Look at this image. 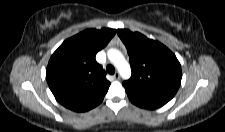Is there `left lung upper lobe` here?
<instances>
[{
    "label": "left lung upper lobe",
    "mask_w": 225,
    "mask_h": 132,
    "mask_svg": "<svg viewBox=\"0 0 225 132\" xmlns=\"http://www.w3.org/2000/svg\"><path fill=\"white\" fill-rule=\"evenodd\" d=\"M125 44L132 69L131 78L123 82L128 96L145 100H171L182 78L176 56L163 44L138 32L118 29Z\"/></svg>",
    "instance_id": "obj_1"
}]
</instances>
